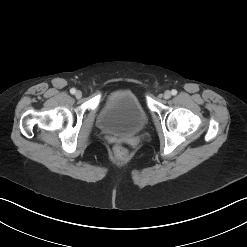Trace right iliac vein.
I'll return each mask as SVG.
<instances>
[{"label": "right iliac vein", "mask_w": 247, "mask_h": 247, "mask_svg": "<svg viewBox=\"0 0 247 247\" xmlns=\"http://www.w3.org/2000/svg\"><path fill=\"white\" fill-rule=\"evenodd\" d=\"M75 97L76 98H81L82 97V92L81 91H77L76 93H75Z\"/></svg>", "instance_id": "63e3f726"}]
</instances>
